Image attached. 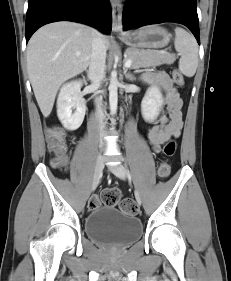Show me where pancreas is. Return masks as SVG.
Segmentation results:
<instances>
[{
  "mask_svg": "<svg viewBox=\"0 0 231 281\" xmlns=\"http://www.w3.org/2000/svg\"><path fill=\"white\" fill-rule=\"evenodd\" d=\"M125 55L127 60H132V69H138L141 67H156L162 64H172L176 60L175 56L170 53L137 48L126 49Z\"/></svg>",
  "mask_w": 231,
  "mask_h": 281,
  "instance_id": "obj_1",
  "label": "pancreas"
}]
</instances>
